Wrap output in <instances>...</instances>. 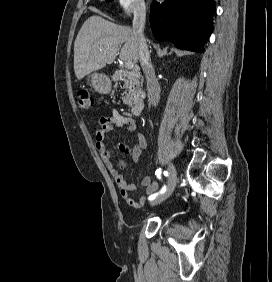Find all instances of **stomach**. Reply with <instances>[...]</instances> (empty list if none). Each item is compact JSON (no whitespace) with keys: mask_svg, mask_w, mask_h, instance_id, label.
I'll list each match as a JSON object with an SVG mask.
<instances>
[{"mask_svg":"<svg viewBox=\"0 0 272 282\" xmlns=\"http://www.w3.org/2000/svg\"><path fill=\"white\" fill-rule=\"evenodd\" d=\"M90 81L95 90L101 93H107L111 89L109 78L104 74L93 73L90 75Z\"/></svg>","mask_w":272,"mask_h":282,"instance_id":"0dacf381","label":"stomach"}]
</instances>
